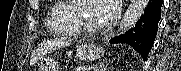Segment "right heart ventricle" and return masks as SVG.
I'll return each mask as SVG.
<instances>
[{"mask_svg": "<svg viewBox=\"0 0 181 71\" xmlns=\"http://www.w3.org/2000/svg\"><path fill=\"white\" fill-rule=\"evenodd\" d=\"M70 1H53L48 7L46 26L60 36L74 37L80 29L74 19L73 4Z\"/></svg>", "mask_w": 181, "mask_h": 71, "instance_id": "obj_1", "label": "right heart ventricle"}]
</instances>
